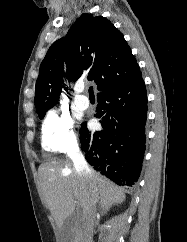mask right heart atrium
Wrapping results in <instances>:
<instances>
[{
    "mask_svg": "<svg viewBox=\"0 0 187 242\" xmlns=\"http://www.w3.org/2000/svg\"><path fill=\"white\" fill-rule=\"evenodd\" d=\"M42 147L45 151L66 152L76 146L73 121L69 114L51 110L42 125Z\"/></svg>",
    "mask_w": 187,
    "mask_h": 242,
    "instance_id": "right-heart-atrium-1",
    "label": "right heart atrium"
}]
</instances>
